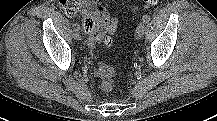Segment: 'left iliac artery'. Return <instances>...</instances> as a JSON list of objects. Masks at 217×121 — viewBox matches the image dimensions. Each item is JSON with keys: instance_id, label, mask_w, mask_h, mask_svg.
I'll return each mask as SVG.
<instances>
[{"instance_id": "44dca946", "label": "left iliac artery", "mask_w": 217, "mask_h": 121, "mask_svg": "<svg viewBox=\"0 0 217 121\" xmlns=\"http://www.w3.org/2000/svg\"><path fill=\"white\" fill-rule=\"evenodd\" d=\"M150 21V16H148V15H144L143 17H142V23H148Z\"/></svg>"}]
</instances>
